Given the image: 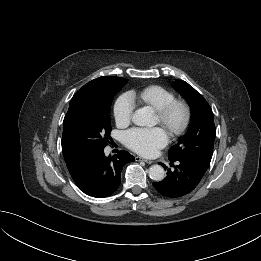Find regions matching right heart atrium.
Segmentation results:
<instances>
[{
    "instance_id": "obj_1",
    "label": "right heart atrium",
    "mask_w": 261,
    "mask_h": 261,
    "mask_svg": "<svg viewBox=\"0 0 261 261\" xmlns=\"http://www.w3.org/2000/svg\"><path fill=\"white\" fill-rule=\"evenodd\" d=\"M135 105L130 95L120 96L114 104L113 114L118 126H127L133 117Z\"/></svg>"
}]
</instances>
